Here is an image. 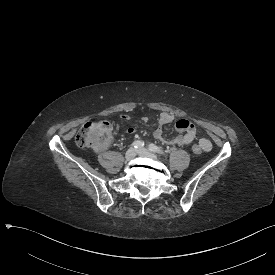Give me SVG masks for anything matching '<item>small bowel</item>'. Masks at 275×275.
Instances as JSON below:
<instances>
[{"instance_id": "1", "label": "small bowel", "mask_w": 275, "mask_h": 275, "mask_svg": "<svg viewBox=\"0 0 275 275\" xmlns=\"http://www.w3.org/2000/svg\"><path fill=\"white\" fill-rule=\"evenodd\" d=\"M124 120H128V116L123 117ZM174 121V117L170 113H162L158 119V126L155 129L153 136L155 139L159 141L166 142L169 145H176V146H188L194 143L197 140V128L193 122L189 121L188 119L182 118L176 121L175 127L177 131L181 134L171 140H166L162 131V127L170 124ZM128 135H134L136 133V128L130 127L127 129ZM199 143H203L205 145V150L209 151L212 148V144L207 139H199Z\"/></svg>"}]
</instances>
